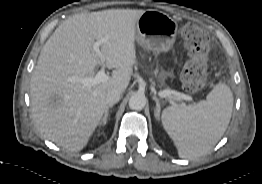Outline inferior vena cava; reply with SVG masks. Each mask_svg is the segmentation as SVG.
<instances>
[{
  "instance_id": "1",
  "label": "inferior vena cava",
  "mask_w": 262,
  "mask_h": 184,
  "mask_svg": "<svg viewBox=\"0 0 262 184\" xmlns=\"http://www.w3.org/2000/svg\"><path fill=\"white\" fill-rule=\"evenodd\" d=\"M121 98V92L117 89H113L106 94V103L109 105L116 104Z\"/></svg>"
}]
</instances>
